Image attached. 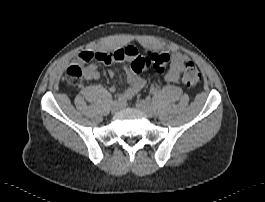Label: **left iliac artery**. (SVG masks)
<instances>
[{"label":"left iliac artery","instance_id":"obj_1","mask_svg":"<svg viewBox=\"0 0 265 202\" xmlns=\"http://www.w3.org/2000/svg\"><path fill=\"white\" fill-rule=\"evenodd\" d=\"M149 92H150V94L155 95L156 94V89L155 88H151Z\"/></svg>","mask_w":265,"mask_h":202}]
</instances>
